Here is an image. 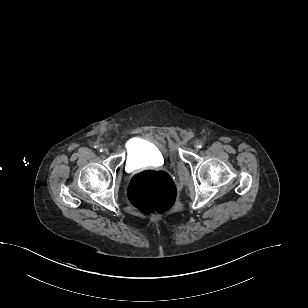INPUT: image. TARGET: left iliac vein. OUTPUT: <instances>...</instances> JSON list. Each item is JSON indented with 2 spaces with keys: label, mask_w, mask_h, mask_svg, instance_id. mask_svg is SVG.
Here are the masks:
<instances>
[{
  "label": "left iliac vein",
  "mask_w": 308,
  "mask_h": 308,
  "mask_svg": "<svg viewBox=\"0 0 308 308\" xmlns=\"http://www.w3.org/2000/svg\"><path fill=\"white\" fill-rule=\"evenodd\" d=\"M198 143H199V141L195 142V144H194L195 149H198Z\"/></svg>",
  "instance_id": "1"
}]
</instances>
